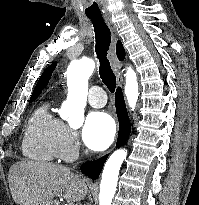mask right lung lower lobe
Returning a JSON list of instances; mask_svg holds the SVG:
<instances>
[{
  "label": "right lung lower lobe",
  "mask_w": 199,
  "mask_h": 205,
  "mask_svg": "<svg viewBox=\"0 0 199 205\" xmlns=\"http://www.w3.org/2000/svg\"><path fill=\"white\" fill-rule=\"evenodd\" d=\"M115 106L119 119V134L117 140V147H120L125 143L131 131L130 121L128 118L123 94L120 88L117 89L115 94ZM107 156L108 155L101 157L98 160L84 163L81 166V171L89 178L97 179L107 159Z\"/></svg>",
  "instance_id": "obj_1"
}]
</instances>
